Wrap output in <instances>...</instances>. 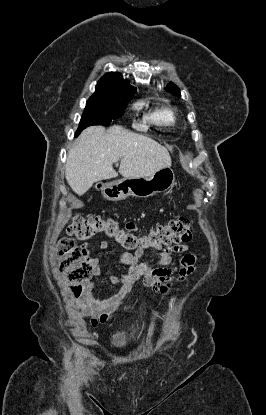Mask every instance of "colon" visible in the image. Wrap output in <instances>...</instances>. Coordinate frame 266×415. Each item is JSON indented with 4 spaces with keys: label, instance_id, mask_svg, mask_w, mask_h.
Instances as JSON below:
<instances>
[{
    "label": "colon",
    "instance_id": "obj_1",
    "mask_svg": "<svg viewBox=\"0 0 266 415\" xmlns=\"http://www.w3.org/2000/svg\"><path fill=\"white\" fill-rule=\"evenodd\" d=\"M68 234L70 237L63 238L58 244L59 264L60 272L69 281L75 294L81 291L82 284L88 280L92 266L86 250L79 248L73 237L88 240L104 234L126 250L160 249L188 242L192 237L190 221L185 218L158 225L144 236L137 237L128 228L121 227L114 218L77 216L69 225Z\"/></svg>",
    "mask_w": 266,
    "mask_h": 415
}]
</instances>
